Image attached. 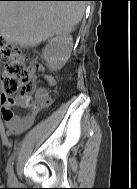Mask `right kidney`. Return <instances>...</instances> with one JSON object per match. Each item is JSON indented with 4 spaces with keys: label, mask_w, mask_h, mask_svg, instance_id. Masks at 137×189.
<instances>
[{
    "label": "right kidney",
    "mask_w": 137,
    "mask_h": 189,
    "mask_svg": "<svg viewBox=\"0 0 137 189\" xmlns=\"http://www.w3.org/2000/svg\"><path fill=\"white\" fill-rule=\"evenodd\" d=\"M73 39L69 33H60L48 41L43 57L52 71L60 70L70 58Z\"/></svg>",
    "instance_id": "right-kidney-1"
}]
</instances>
